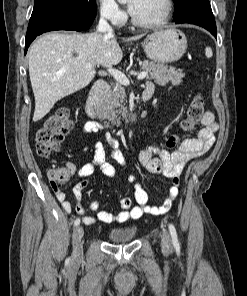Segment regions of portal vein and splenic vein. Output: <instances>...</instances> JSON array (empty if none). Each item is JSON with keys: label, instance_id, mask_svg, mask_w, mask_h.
<instances>
[{"label": "portal vein and splenic vein", "instance_id": "obj_1", "mask_svg": "<svg viewBox=\"0 0 247 296\" xmlns=\"http://www.w3.org/2000/svg\"><path fill=\"white\" fill-rule=\"evenodd\" d=\"M87 68H91L92 65L91 64H87L86 65ZM108 72L110 75H112L114 77V79L119 82L120 84L124 85V86H128L130 84L129 79L127 78V76L122 73L121 71L114 69V68H109ZM146 76H148L147 72H141L138 74L137 79L138 80H142L144 79Z\"/></svg>", "mask_w": 247, "mask_h": 296}]
</instances>
